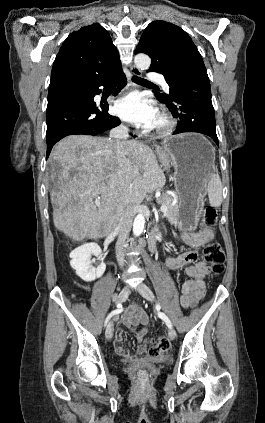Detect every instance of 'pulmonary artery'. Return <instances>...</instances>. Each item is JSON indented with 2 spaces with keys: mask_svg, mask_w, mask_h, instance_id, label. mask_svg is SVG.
<instances>
[{
  "mask_svg": "<svg viewBox=\"0 0 265 423\" xmlns=\"http://www.w3.org/2000/svg\"><path fill=\"white\" fill-rule=\"evenodd\" d=\"M149 78H150V79H159V81H160L161 85L163 86L164 90H165L166 92H169V86H168V84L165 82L164 78H163L161 75H159V74H157V73H154V72H150V73H149Z\"/></svg>",
  "mask_w": 265,
  "mask_h": 423,
  "instance_id": "pulmonary-artery-1",
  "label": "pulmonary artery"
}]
</instances>
